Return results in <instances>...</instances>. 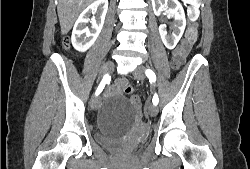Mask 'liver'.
<instances>
[{
    "label": "liver",
    "mask_w": 250,
    "mask_h": 169,
    "mask_svg": "<svg viewBox=\"0 0 250 169\" xmlns=\"http://www.w3.org/2000/svg\"><path fill=\"white\" fill-rule=\"evenodd\" d=\"M90 2L93 0H58L57 12L62 34L69 32L79 12Z\"/></svg>",
    "instance_id": "6515ba94"
}]
</instances>
